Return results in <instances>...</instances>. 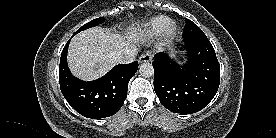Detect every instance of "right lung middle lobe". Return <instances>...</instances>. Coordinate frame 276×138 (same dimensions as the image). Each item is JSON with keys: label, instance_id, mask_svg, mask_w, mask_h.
<instances>
[{"label": "right lung middle lobe", "instance_id": "dd1d6c3e", "mask_svg": "<svg viewBox=\"0 0 276 138\" xmlns=\"http://www.w3.org/2000/svg\"><path fill=\"white\" fill-rule=\"evenodd\" d=\"M103 20H104V18H103V17H100V18H96V19H94V20H92V21L86 23V24L83 25L81 28H79V29L74 33V35L77 34V33H79L80 31L86 29V28H90V27H93V26H96V25L100 24L101 22H103Z\"/></svg>", "mask_w": 276, "mask_h": 138}]
</instances>
